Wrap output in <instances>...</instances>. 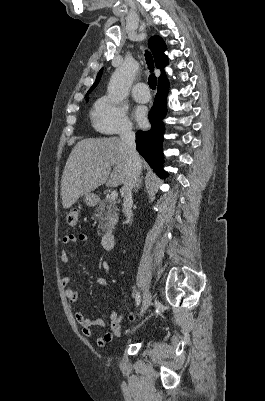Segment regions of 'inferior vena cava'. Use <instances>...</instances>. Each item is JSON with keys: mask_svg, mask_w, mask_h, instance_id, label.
Segmentation results:
<instances>
[{"mask_svg": "<svg viewBox=\"0 0 265 401\" xmlns=\"http://www.w3.org/2000/svg\"><path fill=\"white\" fill-rule=\"evenodd\" d=\"M120 138L124 142L130 164V176L123 186V213L126 217V223H130L132 221L131 207L133 205L132 188L136 186L141 172L140 156L136 150L135 132L132 130V124H124L120 132Z\"/></svg>", "mask_w": 265, "mask_h": 401, "instance_id": "inferior-vena-cava-1", "label": "inferior vena cava"}]
</instances>
